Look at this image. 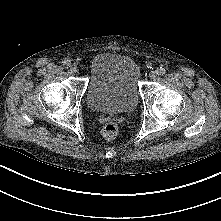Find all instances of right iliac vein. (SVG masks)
Instances as JSON below:
<instances>
[{"mask_svg": "<svg viewBox=\"0 0 221 221\" xmlns=\"http://www.w3.org/2000/svg\"><path fill=\"white\" fill-rule=\"evenodd\" d=\"M70 71H71V73H76L78 71L77 66L76 65H71L70 66Z\"/></svg>", "mask_w": 221, "mask_h": 221, "instance_id": "1", "label": "right iliac vein"}]
</instances>
